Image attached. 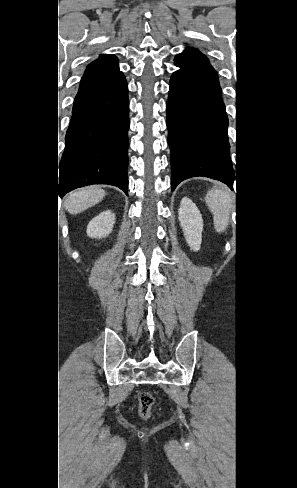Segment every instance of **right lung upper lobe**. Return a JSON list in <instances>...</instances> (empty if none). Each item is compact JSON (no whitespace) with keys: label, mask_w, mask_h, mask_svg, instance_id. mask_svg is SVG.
<instances>
[{"label":"right lung upper lobe","mask_w":297,"mask_h":488,"mask_svg":"<svg viewBox=\"0 0 297 488\" xmlns=\"http://www.w3.org/2000/svg\"><path fill=\"white\" fill-rule=\"evenodd\" d=\"M123 75L118 67V59L114 55L102 54L88 65L74 102L82 101Z\"/></svg>","instance_id":"right-lung-upper-lobe-1"}]
</instances>
